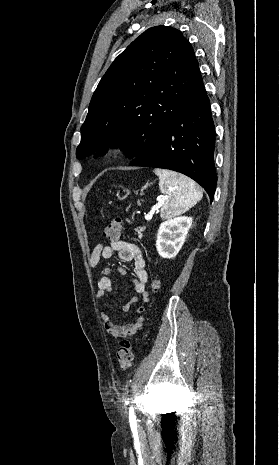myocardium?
I'll return each instance as SVG.
<instances>
[{
	"instance_id": "obj_1",
	"label": "myocardium",
	"mask_w": 279,
	"mask_h": 465,
	"mask_svg": "<svg viewBox=\"0 0 279 465\" xmlns=\"http://www.w3.org/2000/svg\"><path fill=\"white\" fill-rule=\"evenodd\" d=\"M122 149V144L120 142H113L110 143L105 149H104V155L106 157H111L116 155L120 150Z\"/></svg>"
}]
</instances>
